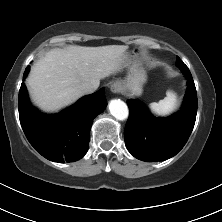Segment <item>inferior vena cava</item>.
Instances as JSON below:
<instances>
[{
	"label": "inferior vena cava",
	"mask_w": 222,
	"mask_h": 222,
	"mask_svg": "<svg viewBox=\"0 0 222 222\" xmlns=\"http://www.w3.org/2000/svg\"><path fill=\"white\" fill-rule=\"evenodd\" d=\"M79 88L83 94H91L95 92V90L97 89V86L91 83H82Z\"/></svg>",
	"instance_id": "inferior-vena-cava-1"
}]
</instances>
